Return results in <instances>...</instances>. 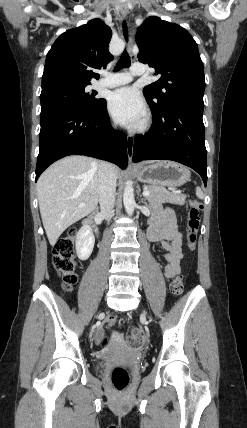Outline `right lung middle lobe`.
<instances>
[{"label": "right lung middle lobe", "instance_id": "1", "mask_svg": "<svg viewBox=\"0 0 247 428\" xmlns=\"http://www.w3.org/2000/svg\"><path fill=\"white\" fill-rule=\"evenodd\" d=\"M95 93L90 94L86 86H62L41 92V112L51 109L66 108L83 113L96 111L105 99L94 98Z\"/></svg>", "mask_w": 247, "mask_h": 428}]
</instances>
